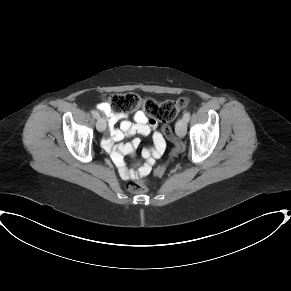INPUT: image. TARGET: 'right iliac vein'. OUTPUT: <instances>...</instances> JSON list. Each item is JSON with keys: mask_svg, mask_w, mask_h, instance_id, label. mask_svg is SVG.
<instances>
[{"mask_svg": "<svg viewBox=\"0 0 291 291\" xmlns=\"http://www.w3.org/2000/svg\"><path fill=\"white\" fill-rule=\"evenodd\" d=\"M96 128L98 131L103 132L106 129V120L104 118H99L96 123Z\"/></svg>", "mask_w": 291, "mask_h": 291, "instance_id": "obj_1", "label": "right iliac vein"}]
</instances>
